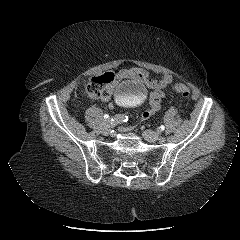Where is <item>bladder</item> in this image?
Wrapping results in <instances>:
<instances>
[{
    "instance_id": "1",
    "label": "bladder",
    "mask_w": 240,
    "mask_h": 240,
    "mask_svg": "<svg viewBox=\"0 0 240 240\" xmlns=\"http://www.w3.org/2000/svg\"><path fill=\"white\" fill-rule=\"evenodd\" d=\"M143 93L142 85L130 80L120 83L116 89L117 98L124 105L134 104Z\"/></svg>"
}]
</instances>
